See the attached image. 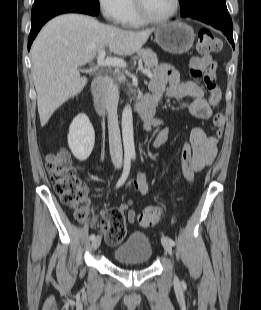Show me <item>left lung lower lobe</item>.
I'll return each instance as SVG.
<instances>
[{
	"instance_id": "0a47b994",
	"label": "left lung lower lobe",
	"mask_w": 261,
	"mask_h": 310,
	"mask_svg": "<svg viewBox=\"0 0 261 310\" xmlns=\"http://www.w3.org/2000/svg\"><path fill=\"white\" fill-rule=\"evenodd\" d=\"M189 17L221 30L234 48L232 19L228 13L225 1L217 2L205 11Z\"/></svg>"
}]
</instances>
